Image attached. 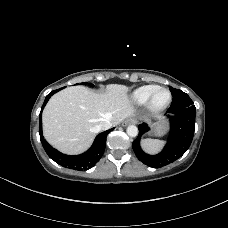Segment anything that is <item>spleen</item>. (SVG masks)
<instances>
[{
  "instance_id": "3e777b00",
  "label": "spleen",
  "mask_w": 228,
  "mask_h": 228,
  "mask_svg": "<svg viewBox=\"0 0 228 228\" xmlns=\"http://www.w3.org/2000/svg\"><path fill=\"white\" fill-rule=\"evenodd\" d=\"M164 143V141L158 139H143L141 147L149 154H156L161 151Z\"/></svg>"
}]
</instances>
